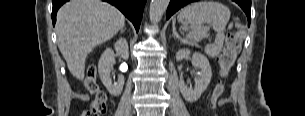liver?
<instances>
[{
	"label": "liver",
	"mask_w": 305,
	"mask_h": 116,
	"mask_svg": "<svg viewBox=\"0 0 305 116\" xmlns=\"http://www.w3.org/2000/svg\"><path fill=\"white\" fill-rule=\"evenodd\" d=\"M125 17L101 0H70L57 13L56 33L60 52L71 74L84 79L85 60L97 45L124 27Z\"/></svg>",
	"instance_id": "obj_1"
}]
</instances>
